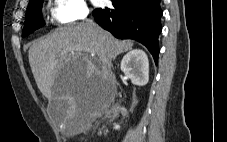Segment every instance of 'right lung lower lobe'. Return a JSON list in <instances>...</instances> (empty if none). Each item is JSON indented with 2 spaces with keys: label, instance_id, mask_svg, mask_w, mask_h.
I'll return each instance as SVG.
<instances>
[{
  "label": "right lung lower lobe",
  "instance_id": "1",
  "mask_svg": "<svg viewBox=\"0 0 227 142\" xmlns=\"http://www.w3.org/2000/svg\"><path fill=\"white\" fill-rule=\"evenodd\" d=\"M114 6L93 11L95 21L119 39L145 45L158 61V36L162 31L160 0H111Z\"/></svg>",
  "mask_w": 227,
  "mask_h": 142
}]
</instances>
